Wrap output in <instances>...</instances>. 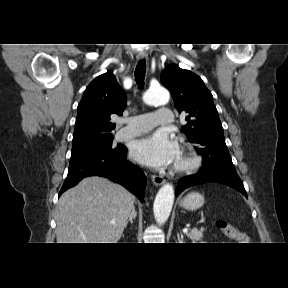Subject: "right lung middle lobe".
I'll return each instance as SVG.
<instances>
[{
    "mask_svg": "<svg viewBox=\"0 0 288 288\" xmlns=\"http://www.w3.org/2000/svg\"><path fill=\"white\" fill-rule=\"evenodd\" d=\"M112 141L113 136H110L88 144L74 146L72 147L70 162H77L89 156L110 154L121 150V147L113 148Z\"/></svg>",
    "mask_w": 288,
    "mask_h": 288,
    "instance_id": "right-lung-middle-lobe-1",
    "label": "right lung middle lobe"
}]
</instances>
